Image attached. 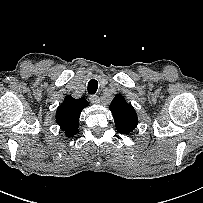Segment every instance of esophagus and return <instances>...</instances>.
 <instances>
[{"mask_svg":"<svg viewBox=\"0 0 203 203\" xmlns=\"http://www.w3.org/2000/svg\"><path fill=\"white\" fill-rule=\"evenodd\" d=\"M89 100H90V102L93 103V104H98V103H100V99H99V97H98L97 95H91V96L89 97Z\"/></svg>","mask_w":203,"mask_h":203,"instance_id":"34e87169","label":"esophagus"}]
</instances>
